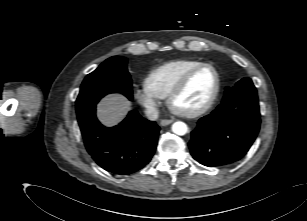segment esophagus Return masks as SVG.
<instances>
[{
  "label": "esophagus",
  "instance_id": "esophagus-1",
  "mask_svg": "<svg viewBox=\"0 0 307 221\" xmlns=\"http://www.w3.org/2000/svg\"><path fill=\"white\" fill-rule=\"evenodd\" d=\"M173 122H174L173 119H162V120L160 121V124H161L162 126H167V125H169V124H171V123H173Z\"/></svg>",
  "mask_w": 307,
  "mask_h": 221
}]
</instances>
